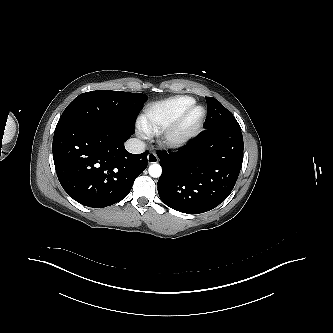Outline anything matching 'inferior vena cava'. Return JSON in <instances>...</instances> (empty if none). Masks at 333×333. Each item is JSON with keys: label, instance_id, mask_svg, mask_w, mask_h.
I'll return each instance as SVG.
<instances>
[{"label": "inferior vena cava", "instance_id": "1", "mask_svg": "<svg viewBox=\"0 0 333 333\" xmlns=\"http://www.w3.org/2000/svg\"><path fill=\"white\" fill-rule=\"evenodd\" d=\"M125 148L130 153L140 154L145 151V144L139 139L131 138L125 143Z\"/></svg>", "mask_w": 333, "mask_h": 333}]
</instances>
